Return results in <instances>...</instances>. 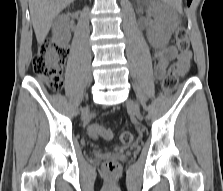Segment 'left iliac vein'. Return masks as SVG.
<instances>
[{"mask_svg": "<svg viewBox=\"0 0 223 191\" xmlns=\"http://www.w3.org/2000/svg\"><path fill=\"white\" fill-rule=\"evenodd\" d=\"M127 108L132 112V114L135 117L140 118L139 107H138V105L133 100L129 99L127 101Z\"/></svg>", "mask_w": 223, "mask_h": 191, "instance_id": "4c4485c4", "label": "left iliac vein"}]
</instances>
